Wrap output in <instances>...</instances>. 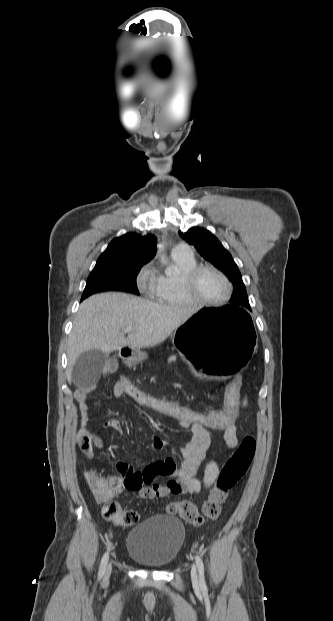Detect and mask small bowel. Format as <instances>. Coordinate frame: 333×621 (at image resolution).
I'll use <instances>...</instances> for the list:
<instances>
[{
  "instance_id": "1",
  "label": "small bowel",
  "mask_w": 333,
  "mask_h": 621,
  "mask_svg": "<svg viewBox=\"0 0 333 621\" xmlns=\"http://www.w3.org/2000/svg\"><path fill=\"white\" fill-rule=\"evenodd\" d=\"M93 390L94 386L89 384L79 387L75 392L80 414V429L77 433V439L82 451L89 457L93 455L94 448L101 445L100 438L88 428L90 418L87 400ZM113 391L115 396H122V392L116 385H114ZM245 403L246 400L243 399L242 404ZM181 425L190 431L191 440L180 448L182 462L179 465L170 457L150 463L142 470H138L133 464L119 463L117 468L122 478L118 476H112V478L121 482L125 477L131 476L136 481L132 490L146 499L163 498L170 495L198 494L202 489L212 486L219 475V466L216 460H210L206 464L203 476L198 477L199 467L210 444L207 427L197 424ZM105 426L117 434H122V427L118 420H108ZM223 430L226 447L234 449L238 445L236 423H231ZM166 444V440L161 437L152 438V449L155 451L162 450ZM157 477H167L168 480L164 483H158ZM124 489L121 486L116 494L121 493Z\"/></svg>"
}]
</instances>
